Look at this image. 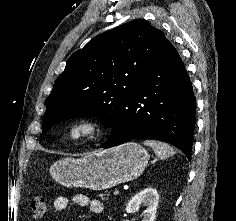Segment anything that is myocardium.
Returning <instances> with one entry per match:
<instances>
[{"label":"myocardium","mask_w":236,"mask_h":221,"mask_svg":"<svg viewBox=\"0 0 236 221\" xmlns=\"http://www.w3.org/2000/svg\"><path fill=\"white\" fill-rule=\"evenodd\" d=\"M104 131L102 123L94 117H81L71 121L65 129V137L72 144L90 141Z\"/></svg>","instance_id":"f54148a6"}]
</instances>
